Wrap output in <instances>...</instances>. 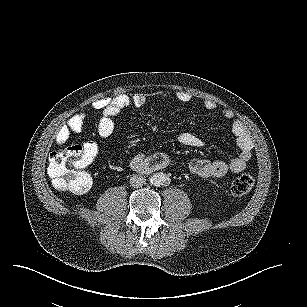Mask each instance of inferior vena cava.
Segmentation results:
<instances>
[{
  "instance_id": "inferior-vena-cava-1",
  "label": "inferior vena cava",
  "mask_w": 307,
  "mask_h": 307,
  "mask_svg": "<svg viewBox=\"0 0 307 307\" xmlns=\"http://www.w3.org/2000/svg\"><path fill=\"white\" fill-rule=\"evenodd\" d=\"M145 177L141 174H132L129 179V183L133 188L142 187L145 183Z\"/></svg>"
}]
</instances>
